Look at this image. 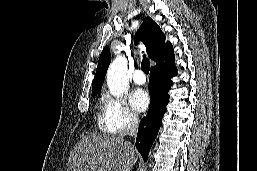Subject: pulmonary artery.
I'll return each instance as SVG.
<instances>
[{
	"label": "pulmonary artery",
	"instance_id": "obj_1",
	"mask_svg": "<svg viewBox=\"0 0 257 171\" xmlns=\"http://www.w3.org/2000/svg\"><path fill=\"white\" fill-rule=\"evenodd\" d=\"M133 81L137 85H143L146 82V77L142 70H136L134 72Z\"/></svg>",
	"mask_w": 257,
	"mask_h": 171
}]
</instances>
